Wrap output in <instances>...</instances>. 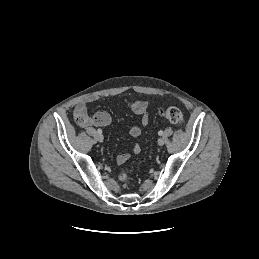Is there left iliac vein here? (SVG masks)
<instances>
[{
	"label": "left iliac vein",
	"instance_id": "1",
	"mask_svg": "<svg viewBox=\"0 0 259 259\" xmlns=\"http://www.w3.org/2000/svg\"><path fill=\"white\" fill-rule=\"evenodd\" d=\"M164 143H165V141H164L163 138H159V139H158V145H159V146H163Z\"/></svg>",
	"mask_w": 259,
	"mask_h": 259
}]
</instances>
